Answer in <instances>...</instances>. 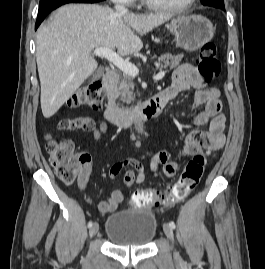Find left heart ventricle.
Wrapping results in <instances>:
<instances>
[{"mask_svg":"<svg viewBox=\"0 0 265 269\" xmlns=\"http://www.w3.org/2000/svg\"><path fill=\"white\" fill-rule=\"evenodd\" d=\"M162 4H181L187 0H154Z\"/></svg>","mask_w":265,"mask_h":269,"instance_id":"left-heart-ventricle-1","label":"left heart ventricle"}]
</instances>
